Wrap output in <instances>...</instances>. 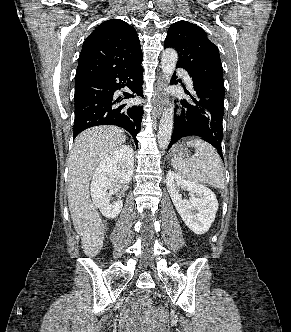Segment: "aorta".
I'll return each instance as SVG.
<instances>
[{
  "label": "aorta",
  "instance_id": "obj_1",
  "mask_svg": "<svg viewBox=\"0 0 291 332\" xmlns=\"http://www.w3.org/2000/svg\"><path fill=\"white\" fill-rule=\"evenodd\" d=\"M178 61V54L174 49H166L161 58V69L164 78L167 82H170L173 75L176 63ZM173 131V107L166 108L163 111L159 130H158V145L160 148H166L171 139Z\"/></svg>",
  "mask_w": 291,
  "mask_h": 332
}]
</instances>
